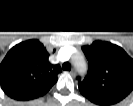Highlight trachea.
Wrapping results in <instances>:
<instances>
[{"mask_svg":"<svg viewBox=\"0 0 133 106\" xmlns=\"http://www.w3.org/2000/svg\"><path fill=\"white\" fill-rule=\"evenodd\" d=\"M62 68H63L64 70L69 71V70H71V65H70L69 63L66 62V63L63 64Z\"/></svg>","mask_w":133,"mask_h":106,"instance_id":"1","label":"trachea"}]
</instances>
